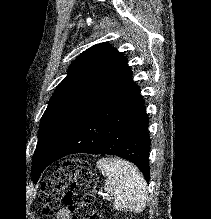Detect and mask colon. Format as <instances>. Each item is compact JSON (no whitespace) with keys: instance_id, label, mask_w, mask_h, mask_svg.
I'll use <instances>...</instances> for the list:
<instances>
[{"instance_id":"1","label":"colon","mask_w":211,"mask_h":219,"mask_svg":"<svg viewBox=\"0 0 211 219\" xmlns=\"http://www.w3.org/2000/svg\"><path fill=\"white\" fill-rule=\"evenodd\" d=\"M96 185L97 178L88 163L63 161L42 185L39 199L43 213L50 216L64 203L72 219H103L94 207Z\"/></svg>"}]
</instances>
